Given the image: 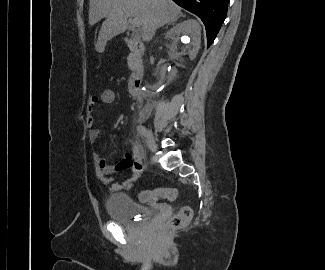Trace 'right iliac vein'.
<instances>
[{
    "label": "right iliac vein",
    "mask_w": 325,
    "mask_h": 270,
    "mask_svg": "<svg viewBox=\"0 0 325 270\" xmlns=\"http://www.w3.org/2000/svg\"><path fill=\"white\" fill-rule=\"evenodd\" d=\"M146 142L151 151L155 152L157 150V145L154 139V136L150 129L145 131Z\"/></svg>",
    "instance_id": "63e3f726"
}]
</instances>
